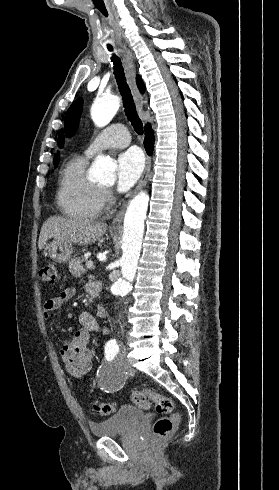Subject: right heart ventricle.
<instances>
[{
	"mask_svg": "<svg viewBox=\"0 0 279 490\" xmlns=\"http://www.w3.org/2000/svg\"><path fill=\"white\" fill-rule=\"evenodd\" d=\"M86 164L87 157H74L65 164L60 175L58 202L69 219L89 221L101 213L102 190L85 177Z\"/></svg>",
	"mask_w": 279,
	"mask_h": 490,
	"instance_id": "right-heart-ventricle-1",
	"label": "right heart ventricle"
}]
</instances>
